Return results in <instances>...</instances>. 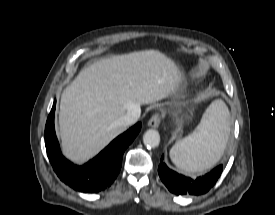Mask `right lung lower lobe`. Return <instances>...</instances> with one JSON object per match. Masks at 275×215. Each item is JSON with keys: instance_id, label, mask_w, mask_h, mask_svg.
<instances>
[{"instance_id": "right-lung-lower-lobe-1", "label": "right lung lower lobe", "mask_w": 275, "mask_h": 215, "mask_svg": "<svg viewBox=\"0 0 275 215\" xmlns=\"http://www.w3.org/2000/svg\"><path fill=\"white\" fill-rule=\"evenodd\" d=\"M55 103L45 127V146L50 163L57 176L73 189L81 192L97 193L109 187L116 179L122 165L125 149L132 143L141 129V123L114 139L95 158L83 166L65 159L61 154L54 129Z\"/></svg>"}]
</instances>
